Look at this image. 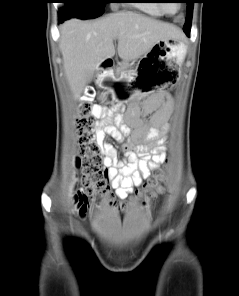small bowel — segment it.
I'll list each match as a JSON object with an SVG mask.
<instances>
[{
    "instance_id": "obj_1",
    "label": "small bowel",
    "mask_w": 239,
    "mask_h": 296,
    "mask_svg": "<svg viewBox=\"0 0 239 296\" xmlns=\"http://www.w3.org/2000/svg\"><path fill=\"white\" fill-rule=\"evenodd\" d=\"M166 98L167 103L163 105L164 97L154 95L142 108L134 103L127 111L121 105L110 109L95 106L94 115L101 118L96 133L105 176L120 200L127 198L166 159L165 141L171 113L170 97ZM106 135L123 144L125 159H118L115 147L105 142ZM125 135H130L127 142Z\"/></svg>"
}]
</instances>
